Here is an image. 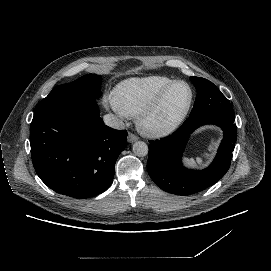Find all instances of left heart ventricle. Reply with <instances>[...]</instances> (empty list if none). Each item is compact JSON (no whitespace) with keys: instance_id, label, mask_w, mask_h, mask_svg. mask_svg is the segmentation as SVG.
I'll return each mask as SVG.
<instances>
[{"instance_id":"1","label":"left heart ventricle","mask_w":271,"mask_h":271,"mask_svg":"<svg viewBox=\"0 0 271 271\" xmlns=\"http://www.w3.org/2000/svg\"><path fill=\"white\" fill-rule=\"evenodd\" d=\"M191 98V89L185 83L173 87L161 109L151 120L153 125L163 126L174 121L187 107Z\"/></svg>"}]
</instances>
